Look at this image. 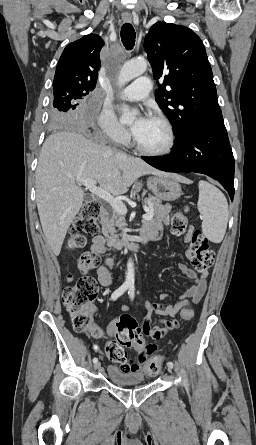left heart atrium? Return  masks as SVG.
Here are the masks:
<instances>
[{
    "mask_svg": "<svg viewBox=\"0 0 256 445\" xmlns=\"http://www.w3.org/2000/svg\"><path fill=\"white\" fill-rule=\"evenodd\" d=\"M148 118L142 116L140 118H138L136 120V122L134 123V125L132 126V133L135 135L137 134L141 128L145 125V123L147 122Z\"/></svg>",
    "mask_w": 256,
    "mask_h": 445,
    "instance_id": "1",
    "label": "left heart atrium"
}]
</instances>
